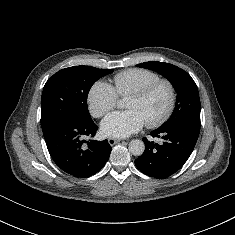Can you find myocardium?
I'll return each mask as SVG.
<instances>
[{
    "instance_id": "f54148a6",
    "label": "myocardium",
    "mask_w": 235,
    "mask_h": 235,
    "mask_svg": "<svg viewBox=\"0 0 235 235\" xmlns=\"http://www.w3.org/2000/svg\"><path fill=\"white\" fill-rule=\"evenodd\" d=\"M165 87L168 92V104L166 109L163 111L161 115L157 118L146 122L147 126L150 128L158 127L167 121L172 115L177 101V94L174 85L166 79H158L153 83L131 93L129 97H134L137 99H146L151 96L158 88Z\"/></svg>"
}]
</instances>
